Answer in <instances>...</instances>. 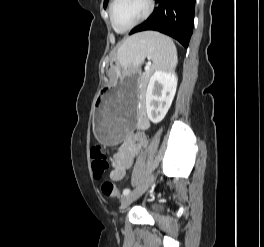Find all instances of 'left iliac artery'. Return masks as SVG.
I'll list each match as a JSON object with an SVG mask.
<instances>
[{
	"label": "left iliac artery",
	"instance_id": "1",
	"mask_svg": "<svg viewBox=\"0 0 264 247\" xmlns=\"http://www.w3.org/2000/svg\"><path fill=\"white\" fill-rule=\"evenodd\" d=\"M130 193V189L129 188H127V189H125L124 191H123V194L124 195H127V194H129Z\"/></svg>",
	"mask_w": 264,
	"mask_h": 247
}]
</instances>
